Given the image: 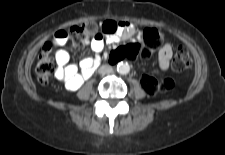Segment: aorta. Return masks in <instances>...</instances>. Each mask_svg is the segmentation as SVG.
<instances>
[{
    "label": "aorta",
    "mask_w": 225,
    "mask_h": 155,
    "mask_svg": "<svg viewBox=\"0 0 225 155\" xmlns=\"http://www.w3.org/2000/svg\"><path fill=\"white\" fill-rule=\"evenodd\" d=\"M130 71V66L127 62H120L117 65V72L120 74H127Z\"/></svg>",
    "instance_id": "obj_1"
}]
</instances>
